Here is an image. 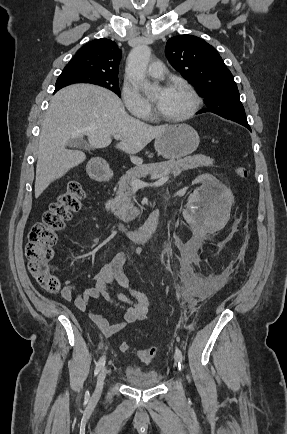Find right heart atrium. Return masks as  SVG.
<instances>
[{"mask_svg": "<svg viewBox=\"0 0 287 434\" xmlns=\"http://www.w3.org/2000/svg\"><path fill=\"white\" fill-rule=\"evenodd\" d=\"M122 98L128 111L136 116L147 117L152 112L149 101L140 93L137 87L130 83H124Z\"/></svg>", "mask_w": 287, "mask_h": 434, "instance_id": "d8ad5b80", "label": "right heart atrium"}]
</instances>
